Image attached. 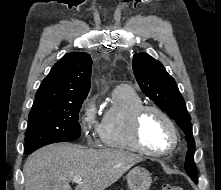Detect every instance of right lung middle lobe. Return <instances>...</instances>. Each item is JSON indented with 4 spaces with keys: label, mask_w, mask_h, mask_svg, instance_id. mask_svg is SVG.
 Here are the masks:
<instances>
[{
    "label": "right lung middle lobe",
    "mask_w": 221,
    "mask_h": 190,
    "mask_svg": "<svg viewBox=\"0 0 221 190\" xmlns=\"http://www.w3.org/2000/svg\"><path fill=\"white\" fill-rule=\"evenodd\" d=\"M83 102L33 106L25 136L26 154L44 145L79 138L81 126L78 114Z\"/></svg>",
    "instance_id": "1"
}]
</instances>
